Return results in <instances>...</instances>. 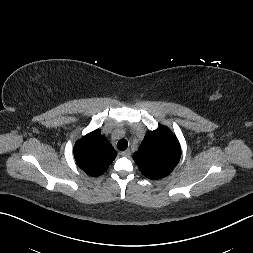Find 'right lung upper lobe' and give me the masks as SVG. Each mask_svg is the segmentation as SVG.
<instances>
[{"instance_id": "1", "label": "right lung upper lobe", "mask_w": 253, "mask_h": 253, "mask_svg": "<svg viewBox=\"0 0 253 253\" xmlns=\"http://www.w3.org/2000/svg\"><path fill=\"white\" fill-rule=\"evenodd\" d=\"M74 157L77 165L85 173L97 177L107 170L116 157V151L97 129L75 144Z\"/></svg>"}]
</instances>
